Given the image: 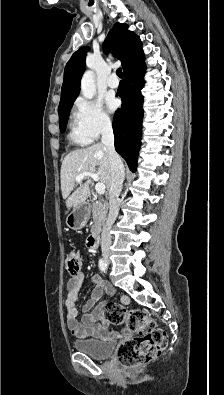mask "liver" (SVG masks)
I'll use <instances>...</instances> for the list:
<instances>
[{"mask_svg": "<svg viewBox=\"0 0 224 395\" xmlns=\"http://www.w3.org/2000/svg\"><path fill=\"white\" fill-rule=\"evenodd\" d=\"M83 172L97 174L100 183L105 184L109 190L111 167L107 148L102 143L74 150L65 156L60 174L62 196L66 200L68 210L85 203L90 195L92 180L89 177H84V182H79V187L71 194L75 187V178Z\"/></svg>", "mask_w": 224, "mask_h": 395, "instance_id": "liver-1", "label": "liver"}]
</instances>
